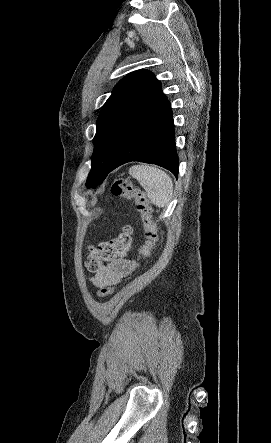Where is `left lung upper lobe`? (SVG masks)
Listing matches in <instances>:
<instances>
[{"label":"left lung upper lobe","instance_id":"left-lung-upper-lobe-1","mask_svg":"<svg viewBox=\"0 0 271 443\" xmlns=\"http://www.w3.org/2000/svg\"><path fill=\"white\" fill-rule=\"evenodd\" d=\"M156 83L151 72L138 70L114 87L97 120L91 171L86 181L88 188L101 184L110 172L126 128Z\"/></svg>","mask_w":271,"mask_h":443}]
</instances>
